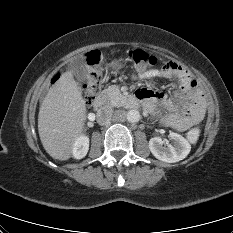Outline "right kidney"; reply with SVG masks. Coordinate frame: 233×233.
<instances>
[{"label":"right kidney","mask_w":233,"mask_h":233,"mask_svg":"<svg viewBox=\"0 0 233 233\" xmlns=\"http://www.w3.org/2000/svg\"><path fill=\"white\" fill-rule=\"evenodd\" d=\"M89 149V138L86 135H80L73 143L72 154L75 159H82L86 156Z\"/></svg>","instance_id":"ca27d5eb"}]
</instances>
